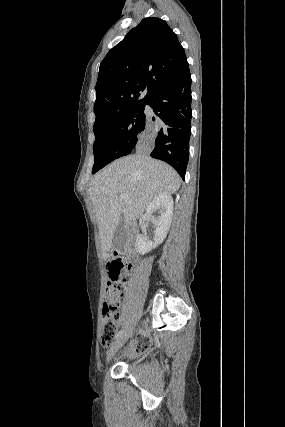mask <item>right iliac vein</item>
Listing matches in <instances>:
<instances>
[{
    "mask_svg": "<svg viewBox=\"0 0 285 427\" xmlns=\"http://www.w3.org/2000/svg\"><path fill=\"white\" fill-rule=\"evenodd\" d=\"M132 329L128 330L126 333L121 335L116 342H114L107 353V363L110 361L111 357L122 347V345L125 343V341L129 338V336L132 334Z\"/></svg>",
    "mask_w": 285,
    "mask_h": 427,
    "instance_id": "obj_1",
    "label": "right iliac vein"
}]
</instances>
